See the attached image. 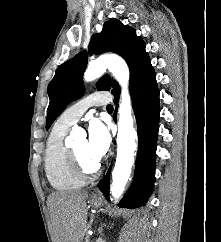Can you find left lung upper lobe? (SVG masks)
<instances>
[{"label":"left lung upper lobe","instance_id":"obj_1","mask_svg":"<svg viewBox=\"0 0 221 242\" xmlns=\"http://www.w3.org/2000/svg\"><path fill=\"white\" fill-rule=\"evenodd\" d=\"M114 52L122 56L130 69V80L150 64L145 43L136 35V30L122 24L117 19L104 23L100 34H94L89 44V54ZM88 55L84 50L63 63L55 72L48 85L50 103L47 109L46 129L65 110L74 99L83 95L82 76L87 66ZM98 90H120L118 83L110 75L102 76L96 85Z\"/></svg>","mask_w":221,"mask_h":242}]
</instances>
